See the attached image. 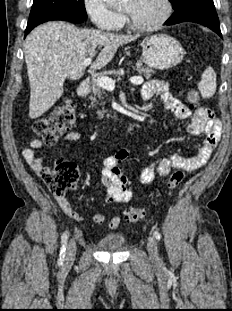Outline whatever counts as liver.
Listing matches in <instances>:
<instances>
[{
	"label": "liver",
	"instance_id": "liver-1",
	"mask_svg": "<svg viewBox=\"0 0 232 311\" xmlns=\"http://www.w3.org/2000/svg\"><path fill=\"white\" fill-rule=\"evenodd\" d=\"M137 36L118 35L101 30L78 29L62 22H48L34 29L27 37L24 53L30 83L29 117L36 119L49 110L63 94L68 77L81 78L83 61L103 47L92 70L105 67L119 46Z\"/></svg>",
	"mask_w": 232,
	"mask_h": 311
}]
</instances>
